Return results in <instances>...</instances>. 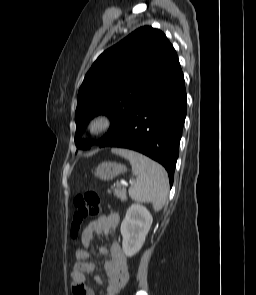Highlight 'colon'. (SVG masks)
Here are the masks:
<instances>
[{"mask_svg":"<svg viewBox=\"0 0 256 295\" xmlns=\"http://www.w3.org/2000/svg\"><path fill=\"white\" fill-rule=\"evenodd\" d=\"M75 212L71 225V236L77 238L83 222L102 212V203L96 192L79 194L74 198Z\"/></svg>","mask_w":256,"mask_h":295,"instance_id":"obj_1","label":"colon"}]
</instances>
